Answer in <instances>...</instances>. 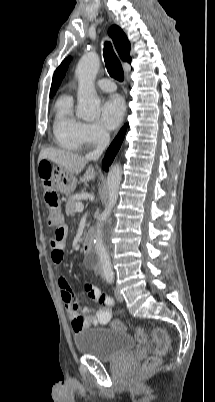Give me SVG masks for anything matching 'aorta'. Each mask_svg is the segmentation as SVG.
<instances>
[{"instance_id":"762f6f07","label":"aorta","mask_w":215,"mask_h":402,"mask_svg":"<svg viewBox=\"0 0 215 402\" xmlns=\"http://www.w3.org/2000/svg\"><path fill=\"white\" fill-rule=\"evenodd\" d=\"M99 66V57L94 53H87L79 60L75 71L78 78L77 116L86 121H93L100 116V99L94 86ZM121 178L122 167L120 164H115L108 172V202L100 216V223L95 235L96 245L91 257L93 262H98L102 266L105 278L113 277V269L108 232L104 227V222L117 202Z\"/></svg>"}]
</instances>
